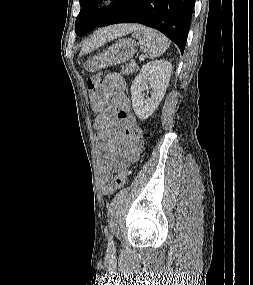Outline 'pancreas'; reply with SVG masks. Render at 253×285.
Here are the masks:
<instances>
[{"label": "pancreas", "instance_id": "pancreas-1", "mask_svg": "<svg viewBox=\"0 0 253 285\" xmlns=\"http://www.w3.org/2000/svg\"><path fill=\"white\" fill-rule=\"evenodd\" d=\"M138 70L136 65H129L122 68L121 73L124 75H130L135 73Z\"/></svg>", "mask_w": 253, "mask_h": 285}]
</instances>
